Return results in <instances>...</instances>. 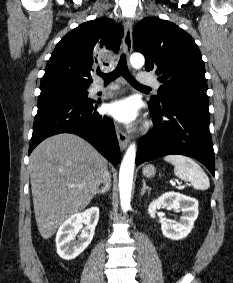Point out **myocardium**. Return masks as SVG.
<instances>
[{
    "label": "myocardium",
    "instance_id": "f54148a6",
    "mask_svg": "<svg viewBox=\"0 0 233 283\" xmlns=\"http://www.w3.org/2000/svg\"><path fill=\"white\" fill-rule=\"evenodd\" d=\"M150 127V124H146L145 128L148 129Z\"/></svg>",
    "mask_w": 233,
    "mask_h": 283
}]
</instances>
